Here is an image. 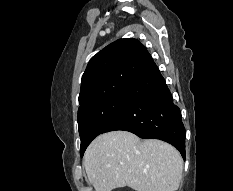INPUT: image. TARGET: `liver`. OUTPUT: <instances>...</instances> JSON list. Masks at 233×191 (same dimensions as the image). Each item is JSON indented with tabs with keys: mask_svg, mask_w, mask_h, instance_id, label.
Masks as SVG:
<instances>
[{
	"mask_svg": "<svg viewBox=\"0 0 233 191\" xmlns=\"http://www.w3.org/2000/svg\"><path fill=\"white\" fill-rule=\"evenodd\" d=\"M83 163L95 191L124 186L135 191H176L183 171L182 157L173 146L157 139L141 141L123 130L96 137Z\"/></svg>",
	"mask_w": 233,
	"mask_h": 191,
	"instance_id": "1",
	"label": "liver"
}]
</instances>
